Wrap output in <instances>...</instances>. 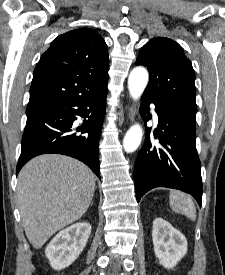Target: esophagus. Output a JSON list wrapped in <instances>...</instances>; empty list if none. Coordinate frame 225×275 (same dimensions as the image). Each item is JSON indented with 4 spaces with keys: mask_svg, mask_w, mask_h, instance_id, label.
<instances>
[{
    "mask_svg": "<svg viewBox=\"0 0 225 275\" xmlns=\"http://www.w3.org/2000/svg\"><path fill=\"white\" fill-rule=\"evenodd\" d=\"M135 115H136V107L134 103H130L129 108H128V116L131 121L135 120Z\"/></svg>",
    "mask_w": 225,
    "mask_h": 275,
    "instance_id": "esophagus-1",
    "label": "esophagus"
}]
</instances>
